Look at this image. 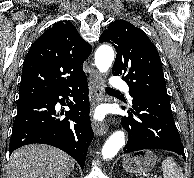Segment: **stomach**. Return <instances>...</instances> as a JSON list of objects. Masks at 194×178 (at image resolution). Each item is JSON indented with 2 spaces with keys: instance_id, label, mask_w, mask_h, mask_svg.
<instances>
[{
  "instance_id": "0dacf381",
  "label": "stomach",
  "mask_w": 194,
  "mask_h": 178,
  "mask_svg": "<svg viewBox=\"0 0 194 178\" xmlns=\"http://www.w3.org/2000/svg\"><path fill=\"white\" fill-rule=\"evenodd\" d=\"M157 156L150 150L125 155L122 161L123 168L130 173H147L156 165Z\"/></svg>"
}]
</instances>
